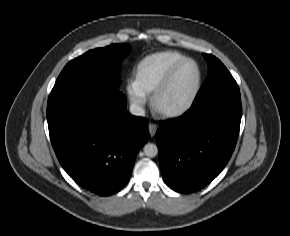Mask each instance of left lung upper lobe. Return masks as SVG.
<instances>
[{"label":"left lung upper lobe","instance_id":"obj_1","mask_svg":"<svg viewBox=\"0 0 290 236\" xmlns=\"http://www.w3.org/2000/svg\"><path fill=\"white\" fill-rule=\"evenodd\" d=\"M208 63V76L199 90L195 101L201 100L219 90L236 85V81L223 63L210 54H203Z\"/></svg>","mask_w":290,"mask_h":236}]
</instances>
